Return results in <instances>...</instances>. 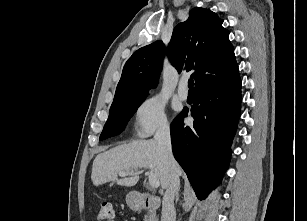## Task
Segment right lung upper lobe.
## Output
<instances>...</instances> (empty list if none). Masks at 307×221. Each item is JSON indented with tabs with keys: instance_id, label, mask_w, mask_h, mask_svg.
Returning a JSON list of instances; mask_svg holds the SVG:
<instances>
[{
	"instance_id": "right-lung-upper-lobe-1",
	"label": "right lung upper lobe",
	"mask_w": 307,
	"mask_h": 221,
	"mask_svg": "<svg viewBox=\"0 0 307 221\" xmlns=\"http://www.w3.org/2000/svg\"><path fill=\"white\" fill-rule=\"evenodd\" d=\"M223 20L204 8L191 10L189 18L173 30L167 55L178 72L193 71L195 93L227 85L240 78L229 31ZM165 46L156 41L133 53L125 63L113 103L148 93L156 86Z\"/></svg>"
}]
</instances>
